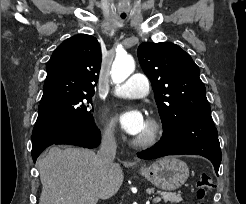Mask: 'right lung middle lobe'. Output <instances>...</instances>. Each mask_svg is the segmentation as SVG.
I'll return each instance as SVG.
<instances>
[{
	"label": "right lung middle lobe",
	"mask_w": 246,
	"mask_h": 204,
	"mask_svg": "<svg viewBox=\"0 0 246 204\" xmlns=\"http://www.w3.org/2000/svg\"><path fill=\"white\" fill-rule=\"evenodd\" d=\"M94 93H69L41 101L36 122L56 124H90L93 122L92 96Z\"/></svg>",
	"instance_id": "dd1d6c3e"
}]
</instances>
